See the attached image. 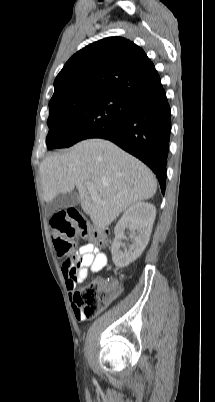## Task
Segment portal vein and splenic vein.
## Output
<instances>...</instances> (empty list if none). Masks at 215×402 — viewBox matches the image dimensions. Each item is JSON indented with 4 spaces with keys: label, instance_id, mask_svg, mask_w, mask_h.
<instances>
[{
    "label": "portal vein and splenic vein",
    "instance_id": "portal-vein-and-splenic-vein-1",
    "mask_svg": "<svg viewBox=\"0 0 215 402\" xmlns=\"http://www.w3.org/2000/svg\"><path fill=\"white\" fill-rule=\"evenodd\" d=\"M86 187H87L88 192L91 194L92 198L94 200H96L97 199V194H96V191H95V188H94L93 184L87 183Z\"/></svg>",
    "mask_w": 215,
    "mask_h": 402
}]
</instances>
